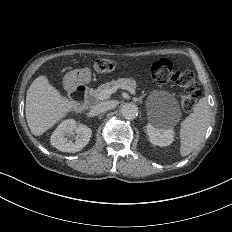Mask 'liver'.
Listing matches in <instances>:
<instances>
[{"mask_svg": "<svg viewBox=\"0 0 232 232\" xmlns=\"http://www.w3.org/2000/svg\"><path fill=\"white\" fill-rule=\"evenodd\" d=\"M77 108L75 101L63 97L43 75L37 77L27 90L26 120L35 136L42 135L68 112Z\"/></svg>", "mask_w": 232, "mask_h": 232, "instance_id": "1", "label": "liver"}]
</instances>
